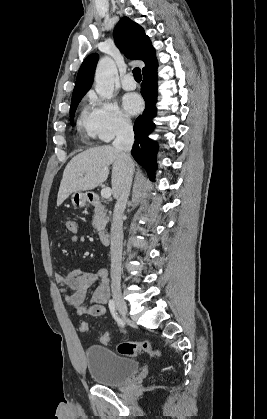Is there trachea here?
Here are the masks:
<instances>
[{"label":"trachea","mask_w":267,"mask_h":419,"mask_svg":"<svg viewBox=\"0 0 267 419\" xmlns=\"http://www.w3.org/2000/svg\"><path fill=\"white\" fill-rule=\"evenodd\" d=\"M133 75H134V78H135L137 81L141 80V79H142L141 69H140V68H138V67L134 68V69H133Z\"/></svg>","instance_id":"trachea-1"}]
</instances>
